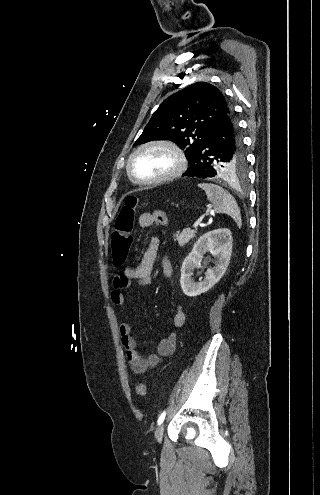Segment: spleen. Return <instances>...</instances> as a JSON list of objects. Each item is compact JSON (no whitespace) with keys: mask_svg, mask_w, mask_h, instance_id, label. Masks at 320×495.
I'll use <instances>...</instances> for the list:
<instances>
[{"mask_svg":"<svg viewBox=\"0 0 320 495\" xmlns=\"http://www.w3.org/2000/svg\"><path fill=\"white\" fill-rule=\"evenodd\" d=\"M207 195V199L214 205L216 213H224L233 218L240 228L242 219L238 205L233 196L222 187L214 184L202 183L198 185Z\"/></svg>","mask_w":320,"mask_h":495,"instance_id":"1","label":"spleen"}]
</instances>
